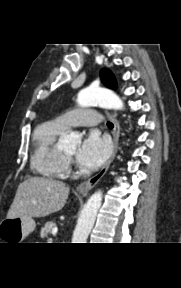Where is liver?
I'll use <instances>...</instances> for the list:
<instances>
[{"instance_id": "liver-1", "label": "liver", "mask_w": 181, "mask_h": 288, "mask_svg": "<svg viewBox=\"0 0 181 288\" xmlns=\"http://www.w3.org/2000/svg\"><path fill=\"white\" fill-rule=\"evenodd\" d=\"M69 195L64 182L29 177L19 184L7 218L45 217L63 208Z\"/></svg>"}]
</instances>
